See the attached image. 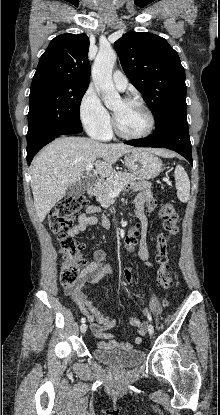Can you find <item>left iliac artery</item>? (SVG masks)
I'll use <instances>...</instances> for the list:
<instances>
[{
	"label": "left iliac artery",
	"mask_w": 220,
	"mask_h": 415,
	"mask_svg": "<svg viewBox=\"0 0 220 415\" xmlns=\"http://www.w3.org/2000/svg\"><path fill=\"white\" fill-rule=\"evenodd\" d=\"M145 312H146V314H147V318H148V320L151 322V321H152V316H151V314L147 311V309H145Z\"/></svg>",
	"instance_id": "1"
}]
</instances>
